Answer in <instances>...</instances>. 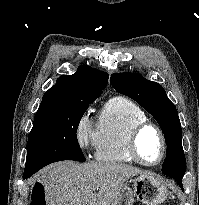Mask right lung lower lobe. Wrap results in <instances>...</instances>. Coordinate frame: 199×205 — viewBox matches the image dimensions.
<instances>
[{
    "mask_svg": "<svg viewBox=\"0 0 199 205\" xmlns=\"http://www.w3.org/2000/svg\"><path fill=\"white\" fill-rule=\"evenodd\" d=\"M32 176V175H31ZM28 177H30L29 175L23 176L24 179H27Z\"/></svg>",
    "mask_w": 199,
    "mask_h": 205,
    "instance_id": "obj_1",
    "label": "right lung lower lobe"
}]
</instances>
